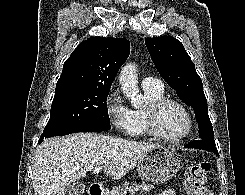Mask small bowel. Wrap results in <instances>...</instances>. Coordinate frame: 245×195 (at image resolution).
Here are the masks:
<instances>
[{
  "mask_svg": "<svg viewBox=\"0 0 245 195\" xmlns=\"http://www.w3.org/2000/svg\"><path fill=\"white\" fill-rule=\"evenodd\" d=\"M157 195H174V191L172 189H167L163 192L158 193Z\"/></svg>",
  "mask_w": 245,
  "mask_h": 195,
  "instance_id": "obj_1",
  "label": "small bowel"
}]
</instances>
